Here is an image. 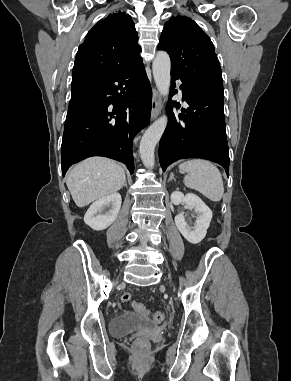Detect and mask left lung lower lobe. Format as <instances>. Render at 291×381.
<instances>
[{
    "label": "left lung lower lobe",
    "mask_w": 291,
    "mask_h": 381,
    "mask_svg": "<svg viewBox=\"0 0 291 381\" xmlns=\"http://www.w3.org/2000/svg\"><path fill=\"white\" fill-rule=\"evenodd\" d=\"M182 81L183 99L189 105L179 117L169 112V123L160 140L159 160L163 171L179 159L203 158L222 165L229 176V149L224 118L223 90H204ZM179 107L175 101L171 103Z\"/></svg>",
    "instance_id": "obj_1"
}]
</instances>
